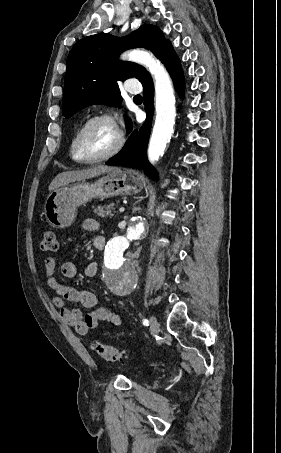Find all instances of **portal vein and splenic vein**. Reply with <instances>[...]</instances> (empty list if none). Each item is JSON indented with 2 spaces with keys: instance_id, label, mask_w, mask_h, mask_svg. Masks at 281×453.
Listing matches in <instances>:
<instances>
[{
  "instance_id": "obj_1",
  "label": "portal vein and splenic vein",
  "mask_w": 281,
  "mask_h": 453,
  "mask_svg": "<svg viewBox=\"0 0 281 453\" xmlns=\"http://www.w3.org/2000/svg\"><path fill=\"white\" fill-rule=\"evenodd\" d=\"M119 212H125V207L119 208Z\"/></svg>"
}]
</instances>
